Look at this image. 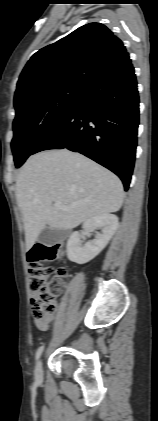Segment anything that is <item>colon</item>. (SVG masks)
<instances>
[{"instance_id":"1","label":"colon","mask_w":158,"mask_h":421,"mask_svg":"<svg viewBox=\"0 0 158 421\" xmlns=\"http://www.w3.org/2000/svg\"><path fill=\"white\" fill-rule=\"evenodd\" d=\"M61 254L60 244H37L27 253L31 310L35 319H47L56 311V299L62 289V278L65 277L66 271L59 268L54 273L50 262Z\"/></svg>"}]
</instances>
